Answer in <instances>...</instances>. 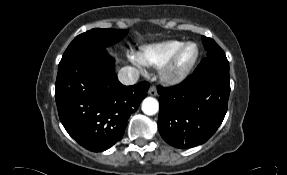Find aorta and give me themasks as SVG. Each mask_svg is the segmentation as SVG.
Here are the masks:
<instances>
[{
    "mask_svg": "<svg viewBox=\"0 0 287 175\" xmlns=\"http://www.w3.org/2000/svg\"><path fill=\"white\" fill-rule=\"evenodd\" d=\"M159 110V103L153 97H147L142 102V111L146 115H155Z\"/></svg>",
    "mask_w": 287,
    "mask_h": 175,
    "instance_id": "762f6f07",
    "label": "aorta"
}]
</instances>
